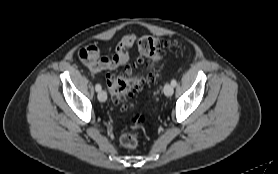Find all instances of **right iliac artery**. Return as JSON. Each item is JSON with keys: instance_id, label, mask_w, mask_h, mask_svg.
<instances>
[{"instance_id": "obj_1", "label": "right iliac artery", "mask_w": 278, "mask_h": 174, "mask_svg": "<svg viewBox=\"0 0 278 174\" xmlns=\"http://www.w3.org/2000/svg\"><path fill=\"white\" fill-rule=\"evenodd\" d=\"M95 90H96L97 92L101 91V85H100V84H96Z\"/></svg>"}]
</instances>
